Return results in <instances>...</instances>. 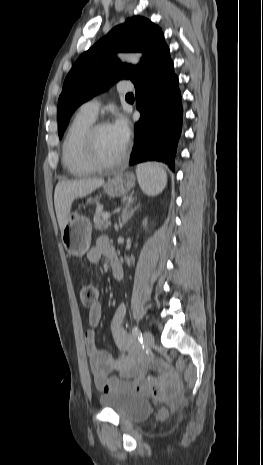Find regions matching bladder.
<instances>
[{"label": "bladder", "instance_id": "bladder-1", "mask_svg": "<svg viewBox=\"0 0 263 465\" xmlns=\"http://www.w3.org/2000/svg\"><path fill=\"white\" fill-rule=\"evenodd\" d=\"M99 400L102 406L129 421H142L152 412V405L145 396L128 390L118 389L104 393Z\"/></svg>", "mask_w": 263, "mask_h": 465}]
</instances>
